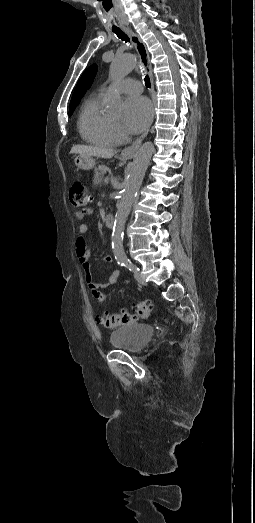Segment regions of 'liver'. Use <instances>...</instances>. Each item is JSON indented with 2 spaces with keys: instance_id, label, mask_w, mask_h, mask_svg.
I'll use <instances>...</instances> for the list:
<instances>
[{
  "instance_id": "6515ba94",
  "label": "liver",
  "mask_w": 255,
  "mask_h": 523,
  "mask_svg": "<svg viewBox=\"0 0 255 523\" xmlns=\"http://www.w3.org/2000/svg\"><path fill=\"white\" fill-rule=\"evenodd\" d=\"M70 154H80L84 158H112L115 152L114 150H108V148H96V146H73Z\"/></svg>"
}]
</instances>
